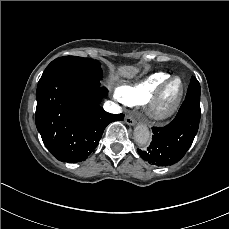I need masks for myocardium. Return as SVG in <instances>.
I'll list each match as a JSON object with an SVG mask.
<instances>
[{
  "label": "myocardium",
  "mask_w": 229,
  "mask_h": 229,
  "mask_svg": "<svg viewBox=\"0 0 229 229\" xmlns=\"http://www.w3.org/2000/svg\"><path fill=\"white\" fill-rule=\"evenodd\" d=\"M178 82L180 84V91L177 94L176 98L171 102V107L169 110L167 111H162L159 109L158 107V102L161 99V94L162 92L168 88V87H172L174 83ZM186 94V88H185V84L182 81V79H180L179 77H173L171 78L162 88L161 90L156 94V96L154 97V99L151 102V108H150V116L152 119L156 120V121H162V120H166L168 118H170L171 116H173L180 108L182 101L185 97Z\"/></svg>",
  "instance_id": "obj_1"
}]
</instances>
